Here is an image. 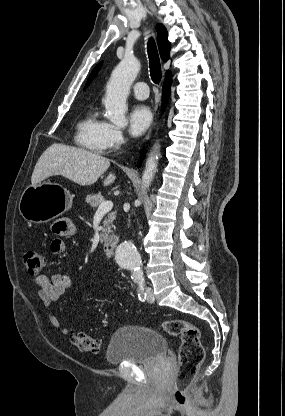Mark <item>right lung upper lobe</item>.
Segmentation results:
<instances>
[{
    "instance_id": "1",
    "label": "right lung upper lobe",
    "mask_w": 285,
    "mask_h": 416,
    "mask_svg": "<svg viewBox=\"0 0 285 416\" xmlns=\"http://www.w3.org/2000/svg\"><path fill=\"white\" fill-rule=\"evenodd\" d=\"M156 29H157V42H158L160 56H161L162 60L164 62H166V61L169 60V57H170V49H171V44L168 41V33H167V30H166V28H165V26L163 24H157ZM100 66H101V63H99L93 69V71L91 72V74H90V76H89V78L87 80V83H86L84 89H86L89 86V84L91 83V81L95 78L98 70L100 69ZM170 76H171V74L168 71L166 73V78L167 77H170Z\"/></svg>"
}]
</instances>
